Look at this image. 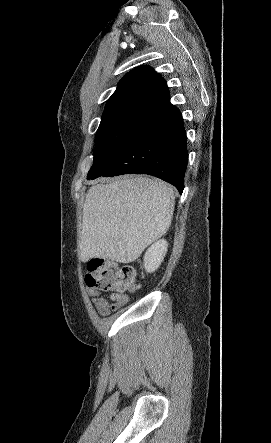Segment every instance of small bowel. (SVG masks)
<instances>
[{"mask_svg":"<svg viewBox=\"0 0 271 443\" xmlns=\"http://www.w3.org/2000/svg\"><path fill=\"white\" fill-rule=\"evenodd\" d=\"M87 293L92 297V302L97 312L102 316H107L127 303L126 296L111 295L110 298L104 297L98 290L87 287Z\"/></svg>","mask_w":271,"mask_h":443,"instance_id":"1","label":"small bowel"}]
</instances>
